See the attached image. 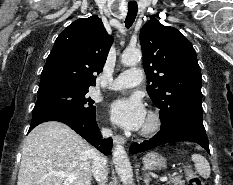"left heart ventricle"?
Segmentation results:
<instances>
[{"label": "left heart ventricle", "instance_id": "left-heart-ventricle-1", "mask_svg": "<svg viewBox=\"0 0 233 185\" xmlns=\"http://www.w3.org/2000/svg\"><path fill=\"white\" fill-rule=\"evenodd\" d=\"M147 123H148V118L146 117V120H145L143 127H145L147 125Z\"/></svg>", "mask_w": 233, "mask_h": 185}]
</instances>
